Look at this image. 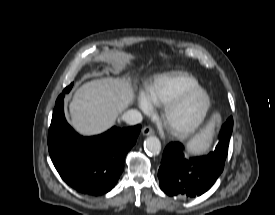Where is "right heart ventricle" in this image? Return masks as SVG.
<instances>
[{"label":"right heart ventricle","mask_w":275,"mask_h":215,"mask_svg":"<svg viewBox=\"0 0 275 215\" xmlns=\"http://www.w3.org/2000/svg\"><path fill=\"white\" fill-rule=\"evenodd\" d=\"M199 86L197 79L187 72H170L157 76L148 90V98L157 106H164L181 92Z\"/></svg>","instance_id":"e07e8e85"}]
</instances>
